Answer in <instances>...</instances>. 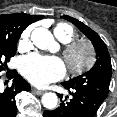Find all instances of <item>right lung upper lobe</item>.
I'll return each mask as SVG.
<instances>
[{
  "mask_svg": "<svg viewBox=\"0 0 117 117\" xmlns=\"http://www.w3.org/2000/svg\"><path fill=\"white\" fill-rule=\"evenodd\" d=\"M43 15H29L25 13L0 15V32L20 31L31 23L42 19Z\"/></svg>",
  "mask_w": 117,
  "mask_h": 117,
  "instance_id": "right-lung-upper-lobe-1",
  "label": "right lung upper lobe"
}]
</instances>
